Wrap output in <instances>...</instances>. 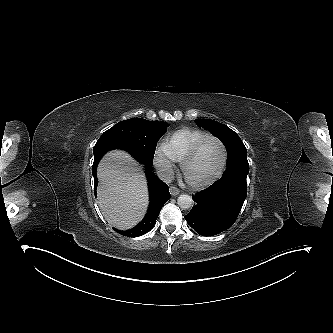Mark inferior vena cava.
<instances>
[{"instance_id": "1", "label": "inferior vena cava", "mask_w": 333, "mask_h": 333, "mask_svg": "<svg viewBox=\"0 0 333 333\" xmlns=\"http://www.w3.org/2000/svg\"><path fill=\"white\" fill-rule=\"evenodd\" d=\"M157 175L162 181L167 184L171 183L174 178L173 169L168 162H165L162 166L158 168Z\"/></svg>"}]
</instances>
